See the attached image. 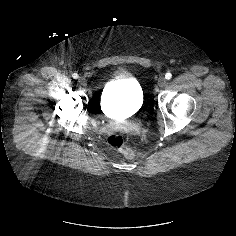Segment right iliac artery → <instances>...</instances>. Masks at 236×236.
<instances>
[{
	"mask_svg": "<svg viewBox=\"0 0 236 236\" xmlns=\"http://www.w3.org/2000/svg\"><path fill=\"white\" fill-rule=\"evenodd\" d=\"M72 77H73L74 79H77L79 76H78L77 73H73V74H72Z\"/></svg>",
	"mask_w": 236,
	"mask_h": 236,
	"instance_id": "obj_1",
	"label": "right iliac artery"
}]
</instances>
